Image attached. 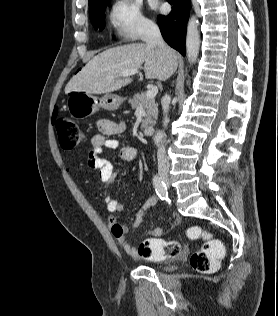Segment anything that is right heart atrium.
<instances>
[{
  "instance_id": "1",
  "label": "right heart atrium",
  "mask_w": 278,
  "mask_h": 316,
  "mask_svg": "<svg viewBox=\"0 0 278 316\" xmlns=\"http://www.w3.org/2000/svg\"><path fill=\"white\" fill-rule=\"evenodd\" d=\"M108 20L116 37L130 41L149 32L154 23L144 16L137 0H113Z\"/></svg>"
}]
</instances>
